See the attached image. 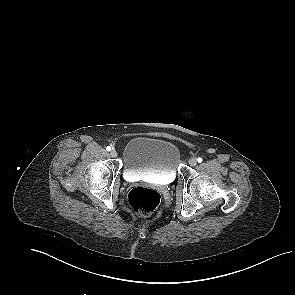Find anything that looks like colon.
<instances>
[{
    "mask_svg": "<svg viewBox=\"0 0 295 295\" xmlns=\"http://www.w3.org/2000/svg\"><path fill=\"white\" fill-rule=\"evenodd\" d=\"M127 200L135 213L146 216L156 210L160 204L161 196L155 189L137 187L129 191Z\"/></svg>",
    "mask_w": 295,
    "mask_h": 295,
    "instance_id": "1",
    "label": "colon"
}]
</instances>
